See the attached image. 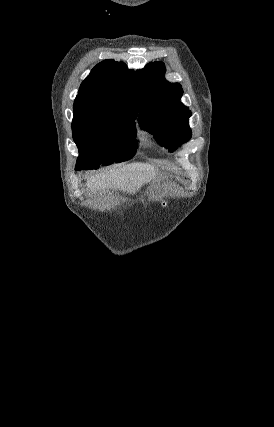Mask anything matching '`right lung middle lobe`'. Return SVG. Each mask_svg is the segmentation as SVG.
<instances>
[{"mask_svg":"<svg viewBox=\"0 0 274 427\" xmlns=\"http://www.w3.org/2000/svg\"><path fill=\"white\" fill-rule=\"evenodd\" d=\"M128 110L74 112L73 139L79 149L77 168L98 169L129 160L135 154V119Z\"/></svg>","mask_w":274,"mask_h":427,"instance_id":"dd1d6c3e","label":"right lung middle lobe"}]
</instances>
